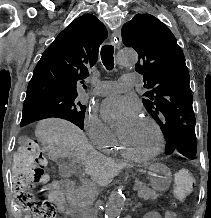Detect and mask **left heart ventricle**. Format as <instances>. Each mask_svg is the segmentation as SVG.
Listing matches in <instances>:
<instances>
[{
	"label": "left heart ventricle",
	"instance_id": "1",
	"mask_svg": "<svg viewBox=\"0 0 211 218\" xmlns=\"http://www.w3.org/2000/svg\"><path fill=\"white\" fill-rule=\"evenodd\" d=\"M122 140L128 149L140 155L152 153L159 145L156 131L145 119H141Z\"/></svg>",
	"mask_w": 211,
	"mask_h": 218
}]
</instances>
